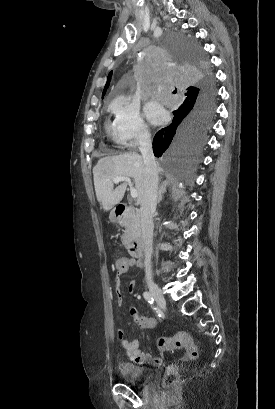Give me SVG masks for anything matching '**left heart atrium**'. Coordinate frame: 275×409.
I'll use <instances>...</instances> for the list:
<instances>
[{
	"label": "left heart atrium",
	"instance_id": "left-heart-atrium-1",
	"mask_svg": "<svg viewBox=\"0 0 275 409\" xmlns=\"http://www.w3.org/2000/svg\"><path fill=\"white\" fill-rule=\"evenodd\" d=\"M147 116L156 123H163L165 121L164 111L156 104L149 103L146 106Z\"/></svg>",
	"mask_w": 275,
	"mask_h": 409
}]
</instances>
